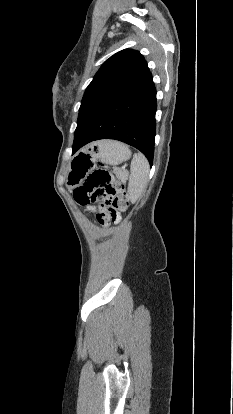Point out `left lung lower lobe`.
<instances>
[{"label": "left lung lower lobe", "mask_w": 233, "mask_h": 414, "mask_svg": "<svg viewBox=\"0 0 233 414\" xmlns=\"http://www.w3.org/2000/svg\"><path fill=\"white\" fill-rule=\"evenodd\" d=\"M156 89L150 72L126 89L93 102L78 116L73 153L89 142L115 139L140 150L153 163Z\"/></svg>", "instance_id": "1"}]
</instances>
